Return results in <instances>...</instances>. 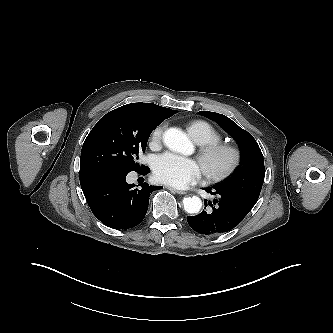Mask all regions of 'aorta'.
Segmentation results:
<instances>
[{
    "mask_svg": "<svg viewBox=\"0 0 333 333\" xmlns=\"http://www.w3.org/2000/svg\"><path fill=\"white\" fill-rule=\"evenodd\" d=\"M164 144L172 151L189 154L192 151V143L187 135L178 128H169L163 134ZM184 210L187 213H198L202 207V201L197 196L183 199Z\"/></svg>",
    "mask_w": 333,
    "mask_h": 333,
    "instance_id": "aorta-1",
    "label": "aorta"
}]
</instances>
